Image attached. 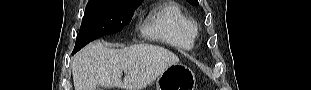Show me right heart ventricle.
<instances>
[{
  "label": "right heart ventricle",
  "instance_id": "obj_1",
  "mask_svg": "<svg viewBox=\"0 0 311 90\" xmlns=\"http://www.w3.org/2000/svg\"><path fill=\"white\" fill-rule=\"evenodd\" d=\"M144 34L174 48L190 50L197 33L196 24L183 8L174 2L159 7L144 23Z\"/></svg>",
  "mask_w": 311,
  "mask_h": 90
}]
</instances>
